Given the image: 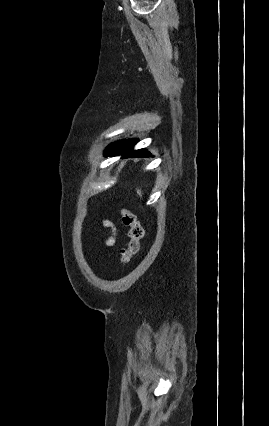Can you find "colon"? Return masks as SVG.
I'll use <instances>...</instances> for the list:
<instances>
[{
    "mask_svg": "<svg viewBox=\"0 0 269 426\" xmlns=\"http://www.w3.org/2000/svg\"><path fill=\"white\" fill-rule=\"evenodd\" d=\"M120 215L122 224L128 229L129 237L127 248L122 251L119 260L120 265H125L139 252L140 241L145 235V230L136 214L129 208H122Z\"/></svg>",
    "mask_w": 269,
    "mask_h": 426,
    "instance_id": "1",
    "label": "colon"
}]
</instances>
